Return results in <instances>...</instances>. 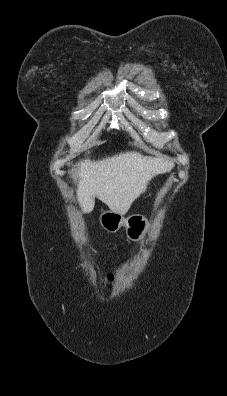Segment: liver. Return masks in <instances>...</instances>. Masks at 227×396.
<instances>
[{
    "mask_svg": "<svg viewBox=\"0 0 227 396\" xmlns=\"http://www.w3.org/2000/svg\"><path fill=\"white\" fill-rule=\"evenodd\" d=\"M171 166V162L137 152H121L98 161H82L76 169L79 179L77 196L82 211L90 213L97 197L110 210L125 214L145 192L149 181Z\"/></svg>",
    "mask_w": 227,
    "mask_h": 396,
    "instance_id": "6515ba94",
    "label": "liver"
}]
</instances>
